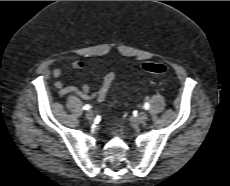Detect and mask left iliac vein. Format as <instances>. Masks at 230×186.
I'll use <instances>...</instances> for the list:
<instances>
[{"mask_svg":"<svg viewBox=\"0 0 230 186\" xmlns=\"http://www.w3.org/2000/svg\"><path fill=\"white\" fill-rule=\"evenodd\" d=\"M147 119L148 115L146 112H141L136 118L138 123H144Z\"/></svg>","mask_w":230,"mask_h":186,"instance_id":"4c4485c4","label":"left iliac vein"}]
</instances>
